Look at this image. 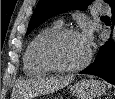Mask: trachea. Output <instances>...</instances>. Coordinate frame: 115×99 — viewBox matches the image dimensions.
<instances>
[{
    "instance_id": "1",
    "label": "trachea",
    "mask_w": 115,
    "mask_h": 99,
    "mask_svg": "<svg viewBox=\"0 0 115 99\" xmlns=\"http://www.w3.org/2000/svg\"><path fill=\"white\" fill-rule=\"evenodd\" d=\"M102 18H107V16H102Z\"/></svg>"
}]
</instances>
